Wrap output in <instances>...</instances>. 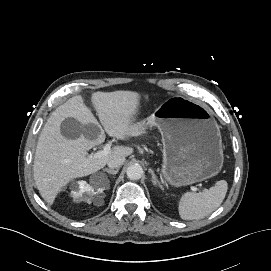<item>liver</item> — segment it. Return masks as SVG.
<instances>
[{
	"label": "liver",
	"instance_id": "liver-1",
	"mask_svg": "<svg viewBox=\"0 0 271 271\" xmlns=\"http://www.w3.org/2000/svg\"><path fill=\"white\" fill-rule=\"evenodd\" d=\"M139 99L140 95L131 91L96 92L91 102L107 134L127 140L137 133L133 122L138 112ZM67 118H74L82 125H97L80 96L59 106L44 125L36 146L33 172L37 189L49 205L54 203L58 193L74 178L95 173L110 159L125 158L134 152L132 148L116 146L104 157H91L87 151L104 141L103 133L93 140L84 135L77 139H67L61 133V124Z\"/></svg>",
	"mask_w": 271,
	"mask_h": 271
}]
</instances>
